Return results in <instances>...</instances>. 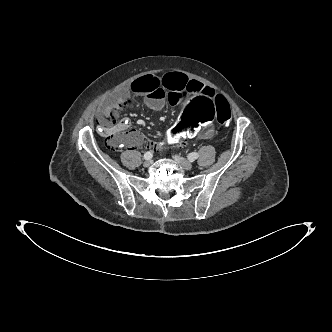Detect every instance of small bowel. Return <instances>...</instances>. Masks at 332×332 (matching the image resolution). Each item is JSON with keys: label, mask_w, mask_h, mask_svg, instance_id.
Instances as JSON below:
<instances>
[{"label": "small bowel", "mask_w": 332, "mask_h": 332, "mask_svg": "<svg viewBox=\"0 0 332 332\" xmlns=\"http://www.w3.org/2000/svg\"><path fill=\"white\" fill-rule=\"evenodd\" d=\"M132 92L145 99L146 105L154 111H161L167 101L173 105H182L185 100L195 95L205 96L211 103H213L214 98V92L211 88L197 80L188 78L180 72H168L161 76L150 74L139 77L130 86L117 92L98 108L97 120L104 131L106 130L103 124L105 112L119 101L130 96ZM117 129L121 134L122 143L128 149L140 146L146 142L142 133L130 128V121L127 118L122 119L118 123ZM214 133L215 130L211 122L204 133L193 138L211 139ZM160 146L158 145L157 147Z\"/></svg>", "instance_id": "obj_1"}]
</instances>
